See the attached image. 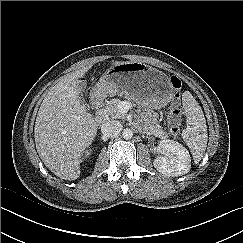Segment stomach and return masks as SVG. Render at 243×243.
I'll use <instances>...</instances> for the list:
<instances>
[{
	"label": "stomach",
	"mask_w": 243,
	"mask_h": 243,
	"mask_svg": "<svg viewBox=\"0 0 243 243\" xmlns=\"http://www.w3.org/2000/svg\"><path fill=\"white\" fill-rule=\"evenodd\" d=\"M95 94L99 97L120 95L136 103L160 109L173 95L168 76L139 61L111 65L100 78Z\"/></svg>",
	"instance_id": "stomach-1"
}]
</instances>
